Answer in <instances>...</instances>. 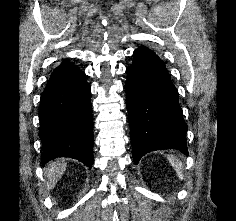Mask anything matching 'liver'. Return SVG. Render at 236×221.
Segmentation results:
<instances>
[{
	"label": "liver",
	"instance_id": "liver-1",
	"mask_svg": "<svg viewBox=\"0 0 236 221\" xmlns=\"http://www.w3.org/2000/svg\"><path fill=\"white\" fill-rule=\"evenodd\" d=\"M66 169V162L63 159L55 160L45 169L46 189L51 190L63 175Z\"/></svg>",
	"mask_w": 236,
	"mask_h": 221
}]
</instances>
